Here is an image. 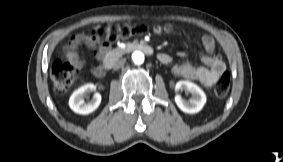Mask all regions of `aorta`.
Returning <instances> with one entry per match:
<instances>
[{"instance_id":"obj_1","label":"aorta","mask_w":283,"mask_h":162,"mask_svg":"<svg viewBox=\"0 0 283 162\" xmlns=\"http://www.w3.org/2000/svg\"><path fill=\"white\" fill-rule=\"evenodd\" d=\"M132 60L135 64H142L144 62V54L140 51L132 53Z\"/></svg>"}]
</instances>
